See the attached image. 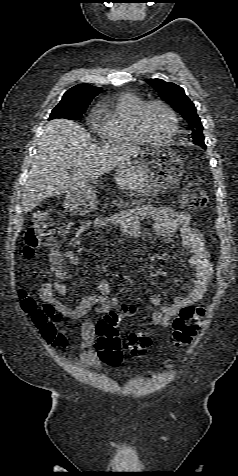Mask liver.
I'll return each mask as SVG.
<instances>
[{"label":"liver","mask_w":238,"mask_h":476,"mask_svg":"<svg viewBox=\"0 0 238 476\" xmlns=\"http://www.w3.org/2000/svg\"><path fill=\"white\" fill-rule=\"evenodd\" d=\"M138 152L136 146L98 145L74 121L54 119L48 122L24 186V211H32L47 197L89 184ZM71 167L74 171L69 174Z\"/></svg>","instance_id":"6515ba94"}]
</instances>
